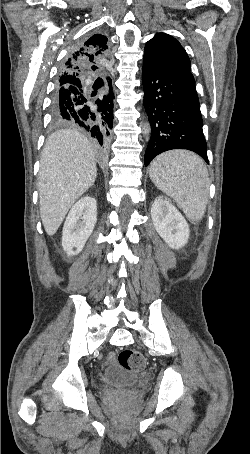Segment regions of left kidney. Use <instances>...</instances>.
Masks as SVG:
<instances>
[{
    "label": "left kidney",
    "instance_id": "5707ae66",
    "mask_svg": "<svg viewBox=\"0 0 250 454\" xmlns=\"http://www.w3.org/2000/svg\"><path fill=\"white\" fill-rule=\"evenodd\" d=\"M151 217L154 228L171 249L178 250L187 244L189 226L179 210L168 200L156 198L151 208Z\"/></svg>",
    "mask_w": 250,
    "mask_h": 454
}]
</instances>
